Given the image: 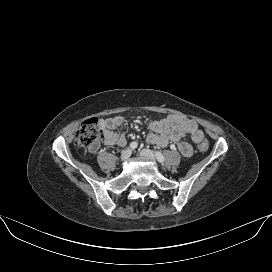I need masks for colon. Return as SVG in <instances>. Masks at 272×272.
<instances>
[{
	"label": "colon",
	"mask_w": 272,
	"mask_h": 272,
	"mask_svg": "<svg viewBox=\"0 0 272 272\" xmlns=\"http://www.w3.org/2000/svg\"><path fill=\"white\" fill-rule=\"evenodd\" d=\"M103 131L98 126V120L96 118H91L86 120L79 128L75 143L82 148H89L94 143L100 142L103 138ZM209 148L208 142L203 141L199 145V150L202 152L207 151Z\"/></svg>",
	"instance_id": "1"
}]
</instances>
